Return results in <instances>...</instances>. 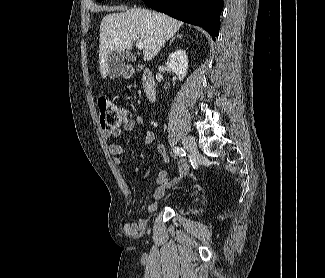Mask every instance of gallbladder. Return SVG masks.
<instances>
[{"label": "gallbladder", "instance_id": "1", "mask_svg": "<svg viewBox=\"0 0 325 278\" xmlns=\"http://www.w3.org/2000/svg\"><path fill=\"white\" fill-rule=\"evenodd\" d=\"M124 56L129 59L134 58V56L128 51L123 53L112 51L108 54V75L110 78L115 79L123 73L125 69Z\"/></svg>", "mask_w": 325, "mask_h": 278}]
</instances>
